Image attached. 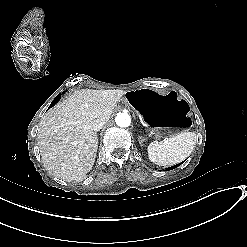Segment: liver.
<instances>
[{"mask_svg": "<svg viewBox=\"0 0 247 247\" xmlns=\"http://www.w3.org/2000/svg\"><path fill=\"white\" fill-rule=\"evenodd\" d=\"M115 106L116 100L106 90L80 89L47 111L37 133L45 169L67 182L86 178L98 149L93 126L106 123Z\"/></svg>", "mask_w": 247, "mask_h": 247, "instance_id": "liver-1", "label": "liver"}]
</instances>
